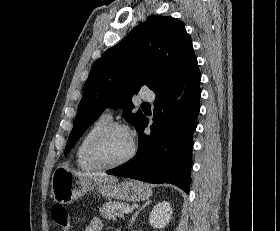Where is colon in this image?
I'll use <instances>...</instances> for the list:
<instances>
[{"mask_svg": "<svg viewBox=\"0 0 280 231\" xmlns=\"http://www.w3.org/2000/svg\"><path fill=\"white\" fill-rule=\"evenodd\" d=\"M50 212L52 213L54 220H62L61 221L62 225H58V230L61 231L71 230L72 221L68 220V212L66 208L59 206V208H51Z\"/></svg>", "mask_w": 280, "mask_h": 231, "instance_id": "1", "label": "colon"}]
</instances>
